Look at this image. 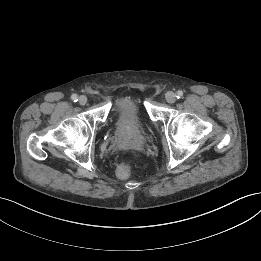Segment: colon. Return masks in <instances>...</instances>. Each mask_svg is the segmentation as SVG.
<instances>
[{
    "label": "colon",
    "instance_id": "obj_1",
    "mask_svg": "<svg viewBox=\"0 0 261 261\" xmlns=\"http://www.w3.org/2000/svg\"><path fill=\"white\" fill-rule=\"evenodd\" d=\"M130 168L128 164H121L116 169V176L119 179H126L129 176Z\"/></svg>",
    "mask_w": 261,
    "mask_h": 261
}]
</instances>
